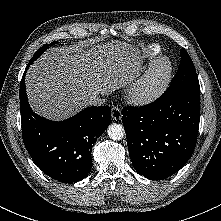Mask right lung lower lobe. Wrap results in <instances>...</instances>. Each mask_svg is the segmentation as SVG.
Returning <instances> with one entry per match:
<instances>
[{"instance_id":"98d812e1","label":"right lung lower lobe","mask_w":221,"mask_h":221,"mask_svg":"<svg viewBox=\"0 0 221 221\" xmlns=\"http://www.w3.org/2000/svg\"><path fill=\"white\" fill-rule=\"evenodd\" d=\"M27 69L19 90L25 147L34 163L49 177L63 183L80 181L91 171V146L109 126L111 109L87 107L59 122L43 118L28 103L24 78Z\"/></svg>"}]
</instances>
